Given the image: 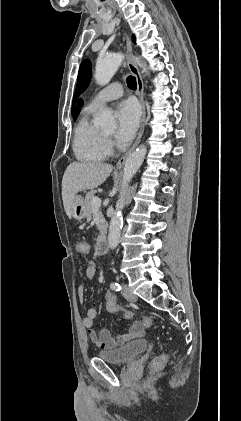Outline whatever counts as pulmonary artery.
Segmentation results:
<instances>
[{
	"mask_svg": "<svg viewBox=\"0 0 241 421\" xmlns=\"http://www.w3.org/2000/svg\"><path fill=\"white\" fill-rule=\"evenodd\" d=\"M122 95V85L119 82H114L98 92L90 101L89 107L96 109L106 102L120 98Z\"/></svg>",
	"mask_w": 241,
	"mask_h": 421,
	"instance_id": "e3ab8cb5",
	"label": "pulmonary artery"
}]
</instances>
